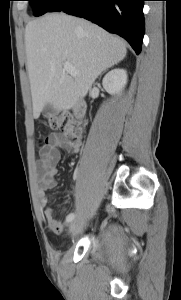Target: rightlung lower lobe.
Returning a JSON list of instances; mask_svg holds the SVG:
<instances>
[{
  "label": "right lung lower lobe",
  "mask_w": 181,
  "mask_h": 300,
  "mask_svg": "<svg viewBox=\"0 0 181 300\" xmlns=\"http://www.w3.org/2000/svg\"><path fill=\"white\" fill-rule=\"evenodd\" d=\"M146 0H62L54 11L82 17L125 38L136 54L141 51Z\"/></svg>",
  "instance_id": "right-lung-lower-lobe-1"
}]
</instances>
